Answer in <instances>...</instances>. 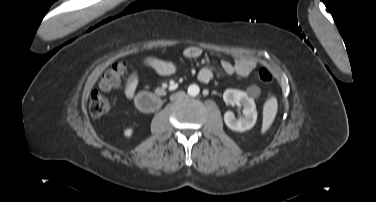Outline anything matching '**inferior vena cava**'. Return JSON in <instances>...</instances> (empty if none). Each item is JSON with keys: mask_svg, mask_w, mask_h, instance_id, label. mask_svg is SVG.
I'll use <instances>...</instances> for the list:
<instances>
[{"mask_svg": "<svg viewBox=\"0 0 376 202\" xmlns=\"http://www.w3.org/2000/svg\"><path fill=\"white\" fill-rule=\"evenodd\" d=\"M181 95H183V94L182 93H178V94H176V97L181 96Z\"/></svg>", "mask_w": 376, "mask_h": 202, "instance_id": "obj_1", "label": "inferior vena cava"}]
</instances>
